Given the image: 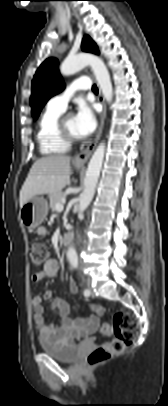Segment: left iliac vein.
<instances>
[{"label": "left iliac vein", "instance_id": "obj_1", "mask_svg": "<svg viewBox=\"0 0 168 406\" xmlns=\"http://www.w3.org/2000/svg\"><path fill=\"white\" fill-rule=\"evenodd\" d=\"M90 290H91V288H90ZM91 296H94L93 293H92V291H91Z\"/></svg>", "mask_w": 168, "mask_h": 406}]
</instances>
